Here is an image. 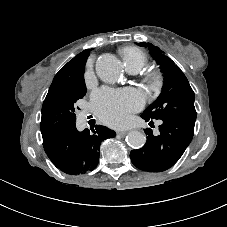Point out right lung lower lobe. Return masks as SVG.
Masks as SVG:
<instances>
[{
    "instance_id": "right-lung-lower-lobe-1",
    "label": "right lung lower lobe",
    "mask_w": 227,
    "mask_h": 227,
    "mask_svg": "<svg viewBox=\"0 0 227 227\" xmlns=\"http://www.w3.org/2000/svg\"><path fill=\"white\" fill-rule=\"evenodd\" d=\"M109 128L96 125L79 132L76 126L59 128L43 137L44 150L52 163L70 175L92 171L99 162V148L103 140L115 137Z\"/></svg>"
}]
</instances>
